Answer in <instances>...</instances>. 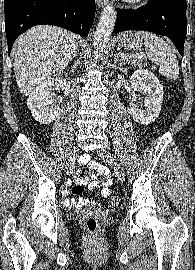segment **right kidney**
<instances>
[{"instance_id": "1", "label": "right kidney", "mask_w": 195, "mask_h": 270, "mask_svg": "<svg viewBox=\"0 0 195 270\" xmlns=\"http://www.w3.org/2000/svg\"><path fill=\"white\" fill-rule=\"evenodd\" d=\"M65 79L52 78L40 84L31 93L27 100V106L31 110L33 118L40 124L53 122L60 113V107L50 99L52 90H60L64 87Z\"/></svg>"}]
</instances>
